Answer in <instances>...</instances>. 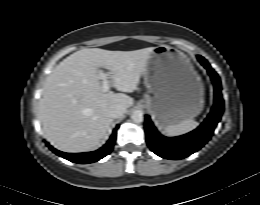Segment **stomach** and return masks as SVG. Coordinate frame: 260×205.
<instances>
[{
    "mask_svg": "<svg viewBox=\"0 0 260 205\" xmlns=\"http://www.w3.org/2000/svg\"><path fill=\"white\" fill-rule=\"evenodd\" d=\"M143 77L147 93L142 102L161 128L194 118L203 109L201 78L182 51L155 47Z\"/></svg>",
    "mask_w": 260,
    "mask_h": 205,
    "instance_id": "stomach-1",
    "label": "stomach"
}]
</instances>
